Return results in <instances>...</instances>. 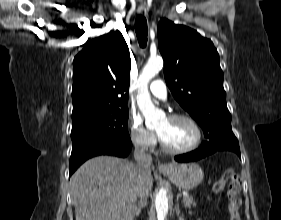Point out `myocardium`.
<instances>
[{
  "label": "myocardium",
  "instance_id": "myocardium-1",
  "mask_svg": "<svg viewBox=\"0 0 281 220\" xmlns=\"http://www.w3.org/2000/svg\"><path fill=\"white\" fill-rule=\"evenodd\" d=\"M167 119L171 120V121L185 120V121L189 122L193 126V128L196 132V139H195L194 143L187 148L174 149V148L169 147L164 142V140L161 138V136L158 134V141H159L161 149L164 152H166L168 154H172V155L187 154V153L193 152L200 146V144L202 142V130H201L199 123L193 117L186 115V114L177 113V114H172V115L168 116Z\"/></svg>",
  "mask_w": 281,
  "mask_h": 220
}]
</instances>
